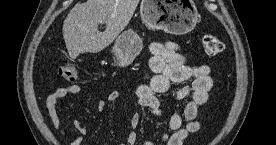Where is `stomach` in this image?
I'll return each instance as SVG.
<instances>
[{"label":"stomach","mask_w":276,"mask_h":145,"mask_svg":"<svg viewBox=\"0 0 276 145\" xmlns=\"http://www.w3.org/2000/svg\"><path fill=\"white\" fill-rule=\"evenodd\" d=\"M140 14L149 29L175 35L193 30L199 16L193 0H142ZM142 46V39L136 32L131 29L122 32L112 49L115 62L120 67L130 65Z\"/></svg>","instance_id":"0dacf381"}]
</instances>
